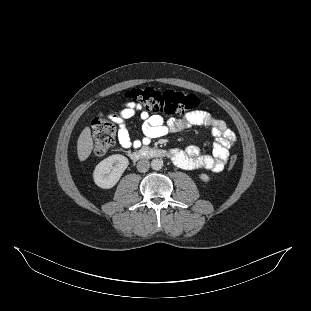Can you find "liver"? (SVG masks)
Instances as JSON below:
<instances>
[{"mask_svg": "<svg viewBox=\"0 0 311 311\" xmlns=\"http://www.w3.org/2000/svg\"><path fill=\"white\" fill-rule=\"evenodd\" d=\"M93 148V142L90 129L85 128L78 139V156L80 160H85L90 155Z\"/></svg>", "mask_w": 311, "mask_h": 311, "instance_id": "6515ba94", "label": "liver"}]
</instances>
